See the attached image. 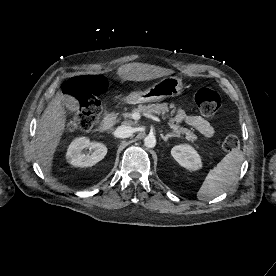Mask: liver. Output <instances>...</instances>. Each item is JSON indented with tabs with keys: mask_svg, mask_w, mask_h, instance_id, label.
Returning a JSON list of instances; mask_svg holds the SVG:
<instances>
[{
	"mask_svg": "<svg viewBox=\"0 0 276 276\" xmlns=\"http://www.w3.org/2000/svg\"><path fill=\"white\" fill-rule=\"evenodd\" d=\"M170 69L159 66L129 63L118 68L117 74L124 81H148L172 74ZM73 97L58 91L44 110L37 128L35 149L38 162L46 173L52 168V161L57 146L66 126L64 105ZM55 181L54 178H50Z\"/></svg>",
	"mask_w": 276,
	"mask_h": 276,
	"instance_id": "obj_1",
	"label": "liver"
}]
</instances>
